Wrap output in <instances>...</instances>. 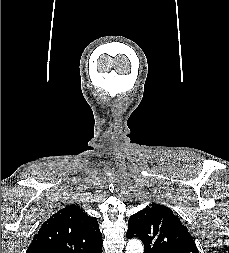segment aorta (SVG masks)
Masks as SVG:
<instances>
[{
    "instance_id": "aorta-1",
    "label": "aorta",
    "mask_w": 229,
    "mask_h": 253,
    "mask_svg": "<svg viewBox=\"0 0 229 253\" xmlns=\"http://www.w3.org/2000/svg\"><path fill=\"white\" fill-rule=\"evenodd\" d=\"M143 245L140 240L132 239L127 243L126 253H143Z\"/></svg>"
}]
</instances>
